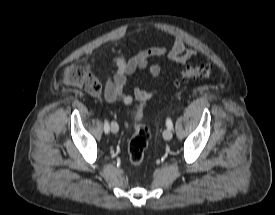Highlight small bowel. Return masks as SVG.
<instances>
[{
  "label": "small bowel",
  "mask_w": 275,
  "mask_h": 215,
  "mask_svg": "<svg viewBox=\"0 0 275 215\" xmlns=\"http://www.w3.org/2000/svg\"><path fill=\"white\" fill-rule=\"evenodd\" d=\"M197 50L186 48L180 39H175L169 51L159 46L138 51L135 55L126 59L123 54H117L114 58L115 73L105 83L104 98L108 103H115L118 99L126 105L133 102V97L125 91L128 77L132 76L138 69L146 70L151 76L157 77L161 72L158 63L151 62L152 59L167 56L173 63L183 66L189 59L197 55ZM153 91L141 87L134 89V98L138 101L149 100Z\"/></svg>",
  "instance_id": "small-bowel-1"
}]
</instances>
